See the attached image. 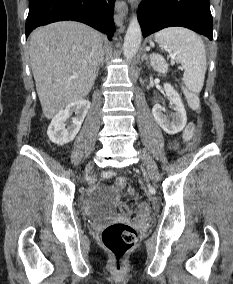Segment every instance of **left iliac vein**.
Instances as JSON below:
<instances>
[{
	"label": "left iliac vein",
	"instance_id": "4c4485c4",
	"mask_svg": "<svg viewBox=\"0 0 233 284\" xmlns=\"http://www.w3.org/2000/svg\"><path fill=\"white\" fill-rule=\"evenodd\" d=\"M140 157L143 162V165L146 167L150 179L153 181H158L160 177L159 170L153 158L150 156L148 152L144 150L140 152Z\"/></svg>",
	"mask_w": 233,
	"mask_h": 284
}]
</instances>
